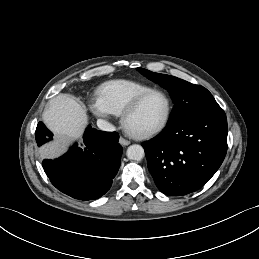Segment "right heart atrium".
<instances>
[{
	"label": "right heart atrium",
	"mask_w": 259,
	"mask_h": 259,
	"mask_svg": "<svg viewBox=\"0 0 259 259\" xmlns=\"http://www.w3.org/2000/svg\"><path fill=\"white\" fill-rule=\"evenodd\" d=\"M90 110L92 113L99 118L102 119H109L111 113L106 109V107L103 105V103L100 101L99 98H93L91 99L89 103Z\"/></svg>",
	"instance_id": "right-heart-atrium-1"
}]
</instances>
